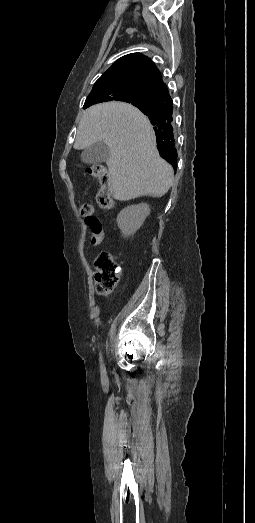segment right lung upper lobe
<instances>
[{
  "label": "right lung upper lobe",
  "instance_id": "1",
  "mask_svg": "<svg viewBox=\"0 0 255 523\" xmlns=\"http://www.w3.org/2000/svg\"><path fill=\"white\" fill-rule=\"evenodd\" d=\"M127 89H139L147 93L143 102H132L151 120L156 134L160 155L176 167L172 110L173 103L161 73L150 58L140 53H132L117 60L94 84L84 108L109 101L106 96Z\"/></svg>",
  "mask_w": 255,
  "mask_h": 523
}]
</instances>
